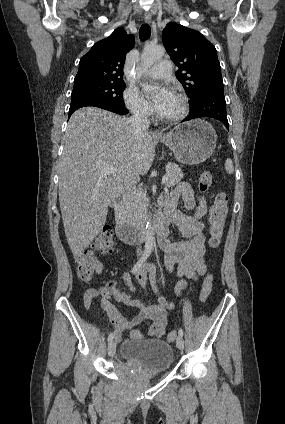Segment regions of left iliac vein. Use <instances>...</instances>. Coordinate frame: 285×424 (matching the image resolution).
<instances>
[{"label": "left iliac vein", "instance_id": "4c4485c4", "mask_svg": "<svg viewBox=\"0 0 285 424\" xmlns=\"http://www.w3.org/2000/svg\"><path fill=\"white\" fill-rule=\"evenodd\" d=\"M176 344H177V347H178L180 350H183V348H184V340H183V337L178 336V337H177V340H176Z\"/></svg>", "mask_w": 285, "mask_h": 424}]
</instances>
